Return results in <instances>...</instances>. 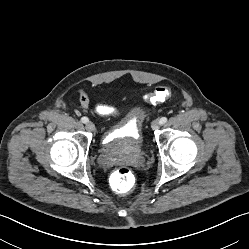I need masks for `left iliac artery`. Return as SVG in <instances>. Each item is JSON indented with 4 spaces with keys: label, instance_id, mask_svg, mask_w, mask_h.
<instances>
[{
    "label": "left iliac artery",
    "instance_id": "obj_1",
    "mask_svg": "<svg viewBox=\"0 0 249 249\" xmlns=\"http://www.w3.org/2000/svg\"><path fill=\"white\" fill-rule=\"evenodd\" d=\"M159 122H160L161 125H163V124H165L167 122V118L162 117V118H160Z\"/></svg>",
    "mask_w": 249,
    "mask_h": 249
}]
</instances>
